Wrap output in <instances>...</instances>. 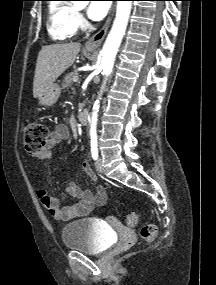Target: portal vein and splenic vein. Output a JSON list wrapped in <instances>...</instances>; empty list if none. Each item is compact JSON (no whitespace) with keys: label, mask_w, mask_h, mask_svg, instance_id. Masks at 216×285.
<instances>
[{"label":"portal vein and splenic vein","mask_w":216,"mask_h":285,"mask_svg":"<svg viewBox=\"0 0 216 285\" xmlns=\"http://www.w3.org/2000/svg\"><path fill=\"white\" fill-rule=\"evenodd\" d=\"M73 81H74V82H78V81H79V78H78V77H74V78H73Z\"/></svg>","instance_id":"18ae733b"}]
</instances>
